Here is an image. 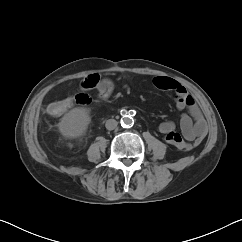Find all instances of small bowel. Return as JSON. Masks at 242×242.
<instances>
[{
	"label": "small bowel",
	"mask_w": 242,
	"mask_h": 242,
	"mask_svg": "<svg viewBox=\"0 0 242 242\" xmlns=\"http://www.w3.org/2000/svg\"><path fill=\"white\" fill-rule=\"evenodd\" d=\"M91 78L98 79L97 88L106 87L111 92L112 82L103 79L99 80L97 75L87 76L81 83V86ZM153 85L160 90L172 91L175 93V103L179 110H187L180 119L181 134L176 132L175 124L172 121H164L159 124L158 130L164 135L165 141L178 147L181 150H190L193 146L199 144L207 134V125L203 114L194 98L187 89L176 80L169 77H156ZM74 105V99L70 98L68 109Z\"/></svg>",
	"instance_id": "1"
}]
</instances>
